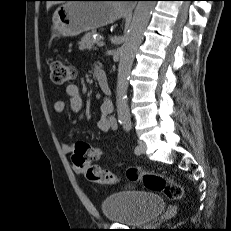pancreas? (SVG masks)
<instances>
[{
	"label": "pancreas",
	"instance_id": "1",
	"mask_svg": "<svg viewBox=\"0 0 231 231\" xmlns=\"http://www.w3.org/2000/svg\"><path fill=\"white\" fill-rule=\"evenodd\" d=\"M96 32H89V33H86L81 41L78 43L79 44V49L81 51L83 50H91L95 44H97L99 41H101V38H100V35L97 34L96 38H93V35L95 34Z\"/></svg>",
	"mask_w": 231,
	"mask_h": 231
}]
</instances>
